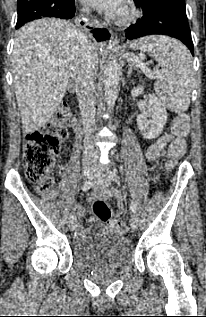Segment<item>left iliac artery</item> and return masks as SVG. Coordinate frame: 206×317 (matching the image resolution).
<instances>
[{
  "instance_id": "1",
  "label": "left iliac artery",
  "mask_w": 206,
  "mask_h": 317,
  "mask_svg": "<svg viewBox=\"0 0 206 317\" xmlns=\"http://www.w3.org/2000/svg\"><path fill=\"white\" fill-rule=\"evenodd\" d=\"M109 178L114 182H119V176L116 172L110 171L109 172ZM130 209L133 213L136 212V203L134 201H131L130 203Z\"/></svg>"
}]
</instances>
